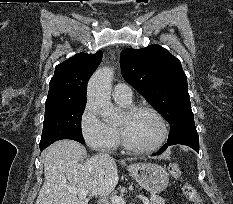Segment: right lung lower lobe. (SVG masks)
I'll return each mask as SVG.
<instances>
[{"instance_id": "right-lung-lower-lobe-1", "label": "right lung lower lobe", "mask_w": 233, "mask_h": 204, "mask_svg": "<svg viewBox=\"0 0 233 204\" xmlns=\"http://www.w3.org/2000/svg\"><path fill=\"white\" fill-rule=\"evenodd\" d=\"M45 148H40V150L42 151V150H44Z\"/></svg>"}]
</instances>
